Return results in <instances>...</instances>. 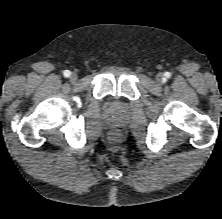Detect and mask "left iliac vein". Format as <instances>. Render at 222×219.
Wrapping results in <instances>:
<instances>
[{"label": "left iliac vein", "instance_id": "4c4485c4", "mask_svg": "<svg viewBox=\"0 0 222 219\" xmlns=\"http://www.w3.org/2000/svg\"><path fill=\"white\" fill-rule=\"evenodd\" d=\"M162 80H163L162 74H161V73L157 74V76H156V81H157L158 83H161Z\"/></svg>", "mask_w": 222, "mask_h": 219}]
</instances>
